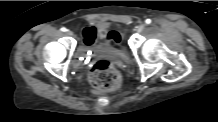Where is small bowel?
<instances>
[{"label":"small bowel","instance_id":"c3829d8e","mask_svg":"<svg viewBox=\"0 0 218 122\" xmlns=\"http://www.w3.org/2000/svg\"><path fill=\"white\" fill-rule=\"evenodd\" d=\"M105 30L104 27H95L93 25H84L81 27L82 31V46L90 47L94 45L98 38L100 37V33ZM124 37V36H123ZM126 45V38L124 37V42L121 47L117 49H122Z\"/></svg>","mask_w":218,"mask_h":122}]
</instances>
